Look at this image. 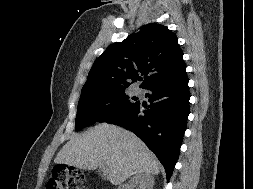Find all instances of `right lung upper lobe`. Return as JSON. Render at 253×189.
Returning <instances> with one entry per match:
<instances>
[{"mask_svg":"<svg viewBox=\"0 0 253 189\" xmlns=\"http://www.w3.org/2000/svg\"><path fill=\"white\" fill-rule=\"evenodd\" d=\"M140 75L146 77L140 85L144 89L187 75L177 36L166 26L144 25L138 33L110 45L95 60L81 92L108 86L129 87L141 79Z\"/></svg>","mask_w":253,"mask_h":189,"instance_id":"cb5924a9","label":"right lung upper lobe"}]
</instances>
